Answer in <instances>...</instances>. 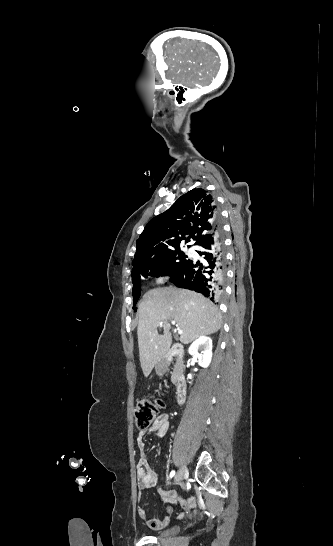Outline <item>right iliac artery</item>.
<instances>
[{"instance_id":"82829eb1","label":"right iliac artery","mask_w":333,"mask_h":546,"mask_svg":"<svg viewBox=\"0 0 333 546\" xmlns=\"http://www.w3.org/2000/svg\"><path fill=\"white\" fill-rule=\"evenodd\" d=\"M174 475H175V471L173 470V471H171V473H170V476H169V477H170V478H172V477H173Z\"/></svg>"}]
</instances>
